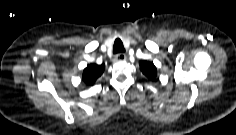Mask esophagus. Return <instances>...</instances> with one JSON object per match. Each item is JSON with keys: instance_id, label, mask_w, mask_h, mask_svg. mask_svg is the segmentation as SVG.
I'll return each mask as SVG.
<instances>
[{"instance_id": "1", "label": "esophagus", "mask_w": 236, "mask_h": 135, "mask_svg": "<svg viewBox=\"0 0 236 135\" xmlns=\"http://www.w3.org/2000/svg\"><path fill=\"white\" fill-rule=\"evenodd\" d=\"M115 60H117V61H124V60H126V55L124 53H118L115 56Z\"/></svg>"}]
</instances>
